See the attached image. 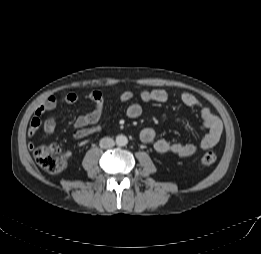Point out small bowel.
I'll return each mask as SVG.
<instances>
[{
    "label": "small bowel",
    "instance_id": "obj_1",
    "mask_svg": "<svg viewBox=\"0 0 261 254\" xmlns=\"http://www.w3.org/2000/svg\"><path fill=\"white\" fill-rule=\"evenodd\" d=\"M134 94L130 90L123 91L119 94L118 100L121 103L132 101ZM142 102H156L165 104L169 101L168 93L161 89L142 90L139 94ZM81 98L88 99L93 102L94 107L89 113L79 116L74 124L72 134L75 138H83L89 135L99 133L105 124L101 121L106 105V99L101 91L93 90L84 96L76 93H68L61 97L49 96L36 109L30 121L28 128V137L32 139L36 132L43 128L47 134H53L56 130L57 121L54 116H50L44 121L42 116L57 108L60 103L75 104ZM180 102L188 108L195 110L202 121V125L206 131L203 138L197 143H177L170 142L163 138H157L155 129L145 127L140 132V140L146 144H152L154 150L160 154H175L181 157H191L199 149L207 150L214 147L220 140L222 134L221 121L207 107H205L192 93L182 92L179 95ZM126 114L129 118L135 119L142 114V105L134 102L126 108ZM29 148H33V143L29 142Z\"/></svg>",
    "mask_w": 261,
    "mask_h": 254
}]
</instances>
